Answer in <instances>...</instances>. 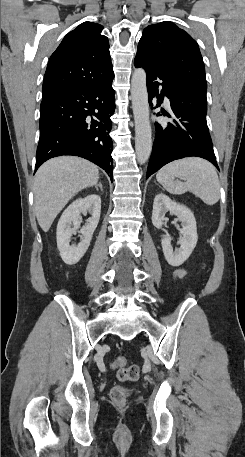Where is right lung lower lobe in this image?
I'll return each mask as SVG.
<instances>
[{
  "mask_svg": "<svg viewBox=\"0 0 245 457\" xmlns=\"http://www.w3.org/2000/svg\"><path fill=\"white\" fill-rule=\"evenodd\" d=\"M113 78L78 85L42 100L35 171L50 158L74 155L94 162L113 180L109 136L115 109Z\"/></svg>",
  "mask_w": 245,
  "mask_h": 457,
  "instance_id": "obj_1",
  "label": "right lung lower lobe"
}]
</instances>
